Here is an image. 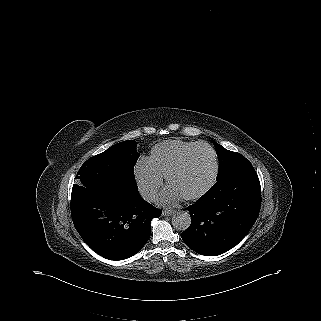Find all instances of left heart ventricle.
I'll return each mask as SVG.
<instances>
[{
  "label": "left heart ventricle",
  "instance_id": "b2bd125f",
  "mask_svg": "<svg viewBox=\"0 0 321 321\" xmlns=\"http://www.w3.org/2000/svg\"><path fill=\"white\" fill-rule=\"evenodd\" d=\"M213 168L211 151L199 148L193 152L186 166L173 176L170 186L182 195L195 193L209 182Z\"/></svg>",
  "mask_w": 321,
  "mask_h": 321
}]
</instances>
